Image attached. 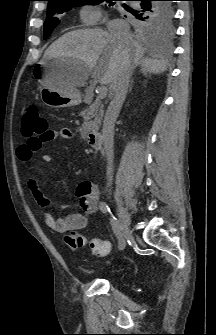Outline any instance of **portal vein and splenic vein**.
Returning a JSON list of instances; mask_svg holds the SVG:
<instances>
[{
	"label": "portal vein and splenic vein",
	"instance_id": "1",
	"mask_svg": "<svg viewBox=\"0 0 216 335\" xmlns=\"http://www.w3.org/2000/svg\"><path fill=\"white\" fill-rule=\"evenodd\" d=\"M107 91H108L107 87H106V86H103V87L99 90V92H98V97H99L100 99H104V98L106 97V95H107Z\"/></svg>",
	"mask_w": 216,
	"mask_h": 335
}]
</instances>
